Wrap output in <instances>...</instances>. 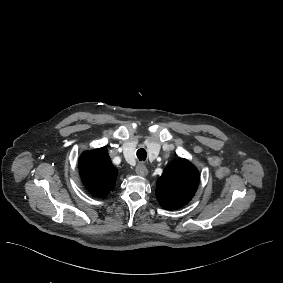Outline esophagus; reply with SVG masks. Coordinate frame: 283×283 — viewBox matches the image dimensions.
Masks as SVG:
<instances>
[{"label":"esophagus","instance_id":"1","mask_svg":"<svg viewBox=\"0 0 283 283\" xmlns=\"http://www.w3.org/2000/svg\"><path fill=\"white\" fill-rule=\"evenodd\" d=\"M136 173L140 176H146L148 174V169L144 164L140 163L136 167Z\"/></svg>","mask_w":283,"mask_h":283}]
</instances>
